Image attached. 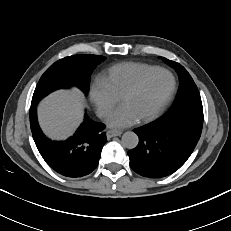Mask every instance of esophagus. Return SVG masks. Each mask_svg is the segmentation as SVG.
Returning a JSON list of instances; mask_svg holds the SVG:
<instances>
[{
  "instance_id": "1",
  "label": "esophagus",
  "mask_w": 231,
  "mask_h": 231,
  "mask_svg": "<svg viewBox=\"0 0 231 231\" xmlns=\"http://www.w3.org/2000/svg\"><path fill=\"white\" fill-rule=\"evenodd\" d=\"M121 134H122V131H120V130H109V131H107V138L120 136Z\"/></svg>"
}]
</instances>
